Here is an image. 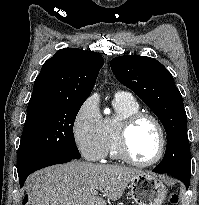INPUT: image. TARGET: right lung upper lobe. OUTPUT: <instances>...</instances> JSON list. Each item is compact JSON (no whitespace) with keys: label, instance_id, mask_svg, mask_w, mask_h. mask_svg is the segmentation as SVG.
Here are the masks:
<instances>
[{"label":"right lung upper lobe","instance_id":"obj_1","mask_svg":"<svg viewBox=\"0 0 199 205\" xmlns=\"http://www.w3.org/2000/svg\"><path fill=\"white\" fill-rule=\"evenodd\" d=\"M103 63V57L96 52L78 48L58 50L43 64L27 112L52 104L85 101Z\"/></svg>","mask_w":199,"mask_h":205}]
</instances>
